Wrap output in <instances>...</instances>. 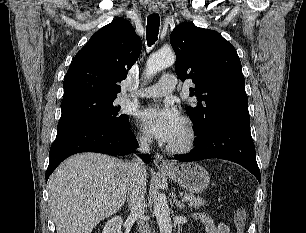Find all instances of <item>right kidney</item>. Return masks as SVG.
<instances>
[{"mask_svg": "<svg viewBox=\"0 0 306 233\" xmlns=\"http://www.w3.org/2000/svg\"><path fill=\"white\" fill-rule=\"evenodd\" d=\"M121 226L122 218L115 216L105 224L102 233H122Z\"/></svg>", "mask_w": 306, "mask_h": 233, "instance_id": "ca27d5eb", "label": "right kidney"}]
</instances>
